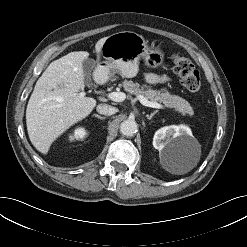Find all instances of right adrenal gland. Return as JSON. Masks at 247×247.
<instances>
[{
	"mask_svg": "<svg viewBox=\"0 0 247 247\" xmlns=\"http://www.w3.org/2000/svg\"><path fill=\"white\" fill-rule=\"evenodd\" d=\"M93 117H96V118L101 119V120H104L106 118V117H102L98 114H94Z\"/></svg>",
	"mask_w": 247,
	"mask_h": 247,
	"instance_id": "2a0ac1e0",
	"label": "right adrenal gland"
}]
</instances>
